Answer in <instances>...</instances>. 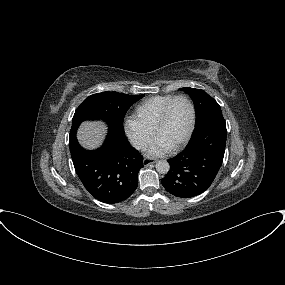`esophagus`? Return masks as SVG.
<instances>
[{
    "label": "esophagus",
    "mask_w": 285,
    "mask_h": 285,
    "mask_svg": "<svg viewBox=\"0 0 285 285\" xmlns=\"http://www.w3.org/2000/svg\"><path fill=\"white\" fill-rule=\"evenodd\" d=\"M155 162H156L155 159L144 158V160H143V165H144V166H149L150 164L155 163Z\"/></svg>",
    "instance_id": "esophagus-1"
}]
</instances>
